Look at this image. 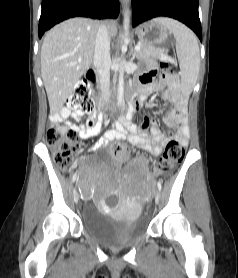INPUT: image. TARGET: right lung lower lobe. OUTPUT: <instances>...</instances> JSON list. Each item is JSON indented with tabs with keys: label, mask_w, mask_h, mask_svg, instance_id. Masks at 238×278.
Masks as SVG:
<instances>
[{
	"label": "right lung lower lobe",
	"mask_w": 238,
	"mask_h": 278,
	"mask_svg": "<svg viewBox=\"0 0 238 278\" xmlns=\"http://www.w3.org/2000/svg\"><path fill=\"white\" fill-rule=\"evenodd\" d=\"M119 0H42L38 35L68 18L83 16L90 18H117Z\"/></svg>",
	"instance_id": "obj_1"
}]
</instances>
